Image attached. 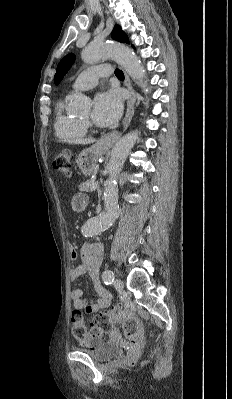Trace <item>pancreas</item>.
<instances>
[{"label": "pancreas", "instance_id": "pancreas-1", "mask_svg": "<svg viewBox=\"0 0 232 399\" xmlns=\"http://www.w3.org/2000/svg\"><path fill=\"white\" fill-rule=\"evenodd\" d=\"M93 184V178H91V180H87V182H83V184H80V186H78L80 192H88V190H90L91 186Z\"/></svg>", "mask_w": 232, "mask_h": 399}]
</instances>
